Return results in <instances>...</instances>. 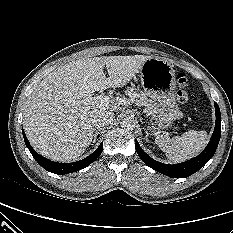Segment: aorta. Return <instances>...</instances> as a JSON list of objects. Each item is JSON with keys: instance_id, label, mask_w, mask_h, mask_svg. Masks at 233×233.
I'll list each match as a JSON object with an SVG mask.
<instances>
[{"instance_id": "aorta-1", "label": "aorta", "mask_w": 233, "mask_h": 233, "mask_svg": "<svg viewBox=\"0 0 233 233\" xmlns=\"http://www.w3.org/2000/svg\"><path fill=\"white\" fill-rule=\"evenodd\" d=\"M120 126L127 130H133L136 126V122L131 117H124L120 121Z\"/></svg>"}]
</instances>
